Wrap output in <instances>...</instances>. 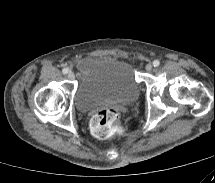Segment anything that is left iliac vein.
Returning <instances> with one entry per match:
<instances>
[{"instance_id":"left-iliac-vein-1","label":"left iliac vein","mask_w":215,"mask_h":183,"mask_svg":"<svg viewBox=\"0 0 215 183\" xmlns=\"http://www.w3.org/2000/svg\"><path fill=\"white\" fill-rule=\"evenodd\" d=\"M152 68H153V66H152V64H147L146 66H145V69L147 70V71H151L152 70Z\"/></svg>"}]
</instances>
